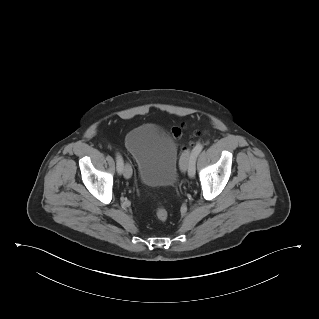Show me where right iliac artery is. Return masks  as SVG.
Instances as JSON below:
<instances>
[{"label":"right iliac artery","mask_w":319,"mask_h":319,"mask_svg":"<svg viewBox=\"0 0 319 319\" xmlns=\"http://www.w3.org/2000/svg\"><path fill=\"white\" fill-rule=\"evenodd\" d=\"M116 164H117V171L119 174H121L123 171L124 161L122 156L119 153L116 154Z\"/></svg>","instance_id":"obj_1"}]
</instances>
